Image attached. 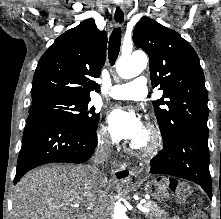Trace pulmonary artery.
<instances>
[{
	"instance_id": "pulmonary-artery-1",
	"label": "pulmonary artery",
	"mask_w": 221,
	"mask_h": 219,
	"mask_svg": "<svg viewBox=\"0 0 221 219\" xmlns=\"http://www.w3.org/2000/svg\"><path fill=\"white\" fill-rule=\"evenodd\" d=\"M109 96L117 100H142L147 96L146 79L138 76L130 83L114 85L110 89Z\"/></svg>"
}]
</instances>
